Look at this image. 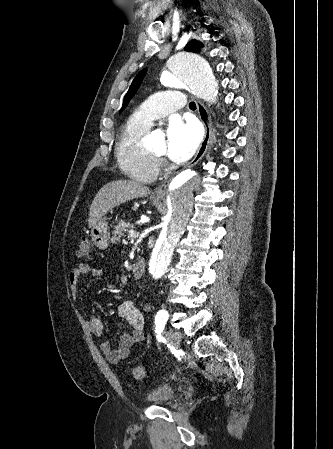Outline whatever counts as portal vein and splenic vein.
<instances>
[{
    "instance_id": "portal-vein-and-splenic-vein-1",
    "label": "portal vein and splenic vein",
    "mask_w": 333,
    "mask_h": 449,
    "mask_svg": "<svg viewBox=\"0 0 333 449\" xmlns=\"http://www.w3.org/2000/svg\"><path fill=\"white\" fill-rule=\"evenodd\" d=\"M128 236L132 239L136 238V232L134 230H130Z\"/></svg>"
}]
</instances>
